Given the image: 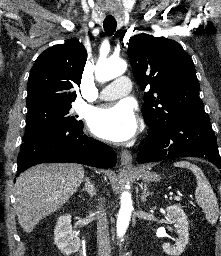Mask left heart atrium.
<instances>
[{
	"label": "left heart atrium",
	"instance_id": "39dd6f15",
	"mask_svg": "<svg viewBox=\"0 0 221 256\" xmlns=\"http://www.w3.org/2000/svg\"><path fill=\"white\" fill-rule=\"evenodd\" d=\"M91 132L108 141L120 143L131 139L138 129V119L127 102L95 109L88 120Z\"/></svg>",
	"mask_w": 221,
	"mask_h": 256
}]
</instances>
